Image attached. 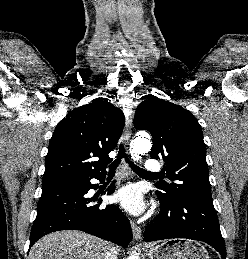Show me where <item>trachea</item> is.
<instances>
[{"label": "trachea", "mask_w": 248, "mask_h": 259, "mask_svg": "<svg viewBox=\"0 0 248 259\" xmlns=\"http://www.w3.org/2000/svg\"><path fill=\"white\" fill-rule=\"evenodd\" d=\"M122 157H125L126 158V155H125V151H124V147L123 145H120V148H119V153H118V156H117V159L110 165V171H109V174L112 175L115 173V169L117 167V165L119 164L120 160ZM127 161L129 162V165L130 167L138 174H146V175H155L157 176L158 174H154V173H150L140 167H137L135 166L131 161H129L127 159Z\"/></svg>", "instance_id": "3493384b"}]
</instances>
